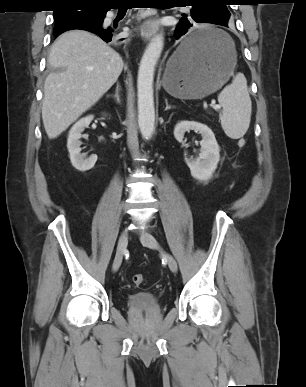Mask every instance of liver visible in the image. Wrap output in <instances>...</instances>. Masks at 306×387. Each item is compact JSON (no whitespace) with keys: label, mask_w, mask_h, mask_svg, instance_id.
Instances as JSON below:
<instances>
[{"label":"liver","mask_w":306,"mask_h":387,"mask_svg":"<svg viewBox=\"0 0 306 387\" xmlns=\"http://www.w3.org/2000/svg\"><path fill=\"white\" fill-rule=\"evenodd\" d=\"M48 63L57 71L45 80L42 120L48 137L54 139L112 87L123 61L97 35L72 30L52 44Z\"/></svg>","instance_id":"obj_1"}]
</instances>
